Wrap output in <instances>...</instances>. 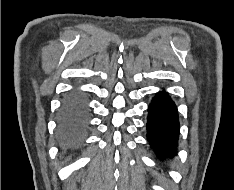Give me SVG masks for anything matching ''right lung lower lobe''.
<instances>
[{"instance_id": "98d812e1", "label": "right lung lower lobe", "mask_w": 234, "mask_h": 190, "mask_svg": "<svg viewBox=\"0 0 234 190\" xmlns=\"http://www.w3.org/2000/svg\"><path fill=\"white\" fill-rule=\"evenodd\" d=\"M88 127V110L79 96L69 97L63 107L59 119V137L61 145L66 149L78 147L83 141Z\"/></svg>"}]
</instances>
